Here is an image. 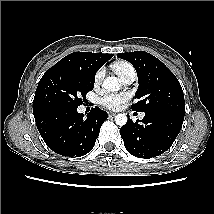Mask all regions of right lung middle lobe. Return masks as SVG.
Here are the masks:
<instances>
[{"mask_svg":"<svg viewBox=\"0 0 214 214\" xmlns=\"http://www.w3.org/2000/svg\"><path fill=\"white\" fill-rule=\"evenodd\" d=\"M94 82V76L80 71L50 68L37 86L33 114L55 107H78L83 103L87 92L93 89Z\"/></svg>","mask_w":214,"mask_h":214,"instance_id":"dd1d6c3e","label":"right lung middle lobe"}]
</instances>
